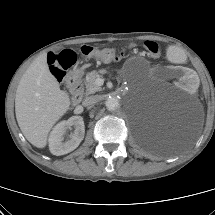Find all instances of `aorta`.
Instances as JSON below:
<instances>
[{"label": "aorta", "mask_w": 215, "mask_h": 215, "mask_svg": "<svg viewBox=\"0 0 215 215\" xmlns=\"http://www.w3.org/2000/svg\"><path fill=\"white\" fill-rule=\"evenodd\" d=\"M106 107L109 111H114L119 107V101L115 98L108 99L106 102Z\"/></svg>", "instance_id": "1"}]
</instances>
